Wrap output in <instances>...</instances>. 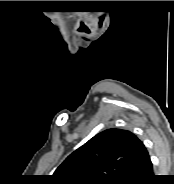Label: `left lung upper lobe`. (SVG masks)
<instances>
[{"mask_svg": "<svg viewBox=\"0 0 174 184\" xmlns=\"http://www.w3.org/2000/svg\"><path fill=\"white\" fill-rule=\"evenodd\" d=\"M141 144L130 131L105 130L68 156L53 177L60 184H125Z\"/></svg>", "mask_w": 174, "mask_h": 184, "instance_id": "obj_1", "label": "left lung upper lobe"}]
</instances>
